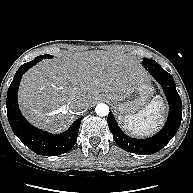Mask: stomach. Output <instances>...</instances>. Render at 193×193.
Listing matches in <instances>:
<instances>
[{
	"label": "stomach",
	"mask_w": 193,
	"mask_h": 193,
	"mask_svg": "<svg viewBox=\"0 0 193 193\" xmlns=\"http://www.w3.org/2000/svg\"><path fill=\"white\" fill-rule=\"evenodd\" d=\"M153 87L142 77L130 80L123 88L108 92L104 97L111 101L120 114L134 113L151 98Z\"/></svg>",
	"instance_id": "obj_1"
}]
</instances>
